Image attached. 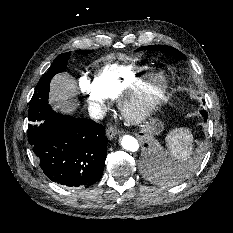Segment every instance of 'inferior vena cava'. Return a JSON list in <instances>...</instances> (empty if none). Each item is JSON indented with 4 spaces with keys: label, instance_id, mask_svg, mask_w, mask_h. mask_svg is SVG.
Segmentation results:
<instances>
[{
    "label": "inferior vena cava",
    "instance_id": "1",
    "mask_svg": "<svg viewBox=\"0 0 233 233\" xmlns=\"http://www.w3.org/2000/svg\"><path fill=\"white\" fill-rule=\"evenodd\" d=\"M90 116L94 119H103L105 116V111L101 108L99 104H94L89 110Z\"/></svg>",
    "mask_w": 233,
    "mask_h": 233
}]
</instances>
